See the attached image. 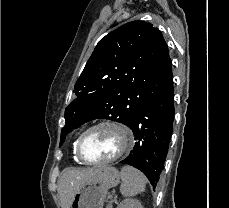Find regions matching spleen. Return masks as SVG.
Wrapping results in <instances>:
<instances>
[{
  "label": "spleen",
  "instance_id": "obj_1",
  "mask_svg": "<svg viewBox=\"0 0 229 208\" xmlns=\"http://www.w3.org/2000/svg\"><path fill=\"white\" fill-rule=\"evenodd\" d=\"M120 178L122 184L120 186V192L123 196H137L141 192H145L147 180L139 170H135L132 166H123L120 172Z\"/></svg>",
  "mask_w": 229,
  "mask_h": 208
}]
</instances>
